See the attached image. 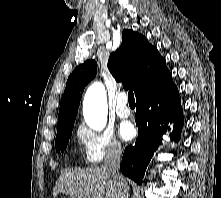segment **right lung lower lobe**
<instances>
[{
  "mask_svg": "<svg viewBox=\"0 0 221 198\" xmlns=\"http://www.w3.org/2000/svg\"><path fill=\"white\" fill-rule=\"evenodd\" d=\"M136 101L139 134L135 144L126 147L120 168L125 176L141 185L145 170L166 130L173 127L171 140H179L183 111L178 89L168 70L139 94Z\"/></svg>",
  "mask_w": 221,
  "mask_h": 198,
  "instance_id": "1",
  "label": "right lung lower lobe"
}]
</instances>
